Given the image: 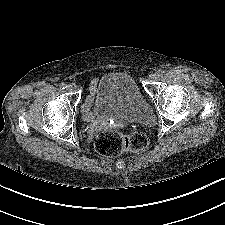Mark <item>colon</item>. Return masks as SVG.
I'll use <instances>...</instances> for the list:
<instances>
[{"mask_svg":"<svg viewBox=\"0 0 225 225\" xmlns=\"http://www.w3.org/2000/svg\"><path fill=\"white\" fill-rule=\"evenodd\" d=\"M149 146V139L143 132L126 135L120 132L106 131L95 140L97 152L103 156H117L123 152H138Z\"/></svg>","mask_w":225,"mask_h":225,"instance_id":"obj_1","label":"colon"}]
</instances>
